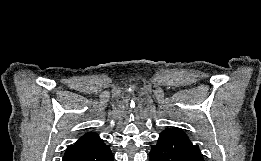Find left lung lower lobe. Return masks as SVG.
I'll return each mask as SVG.
<instances>
[{"label": "left lung lower lobe", "mask_w": 261, "mask_h": 161, "mask_svg": "<svg viewBox=\"0 0 261 161\" xmlns=\"http://www.w3.org/2000/svg\"><path fill=\"white\" fill-rule=\"evenodd\" d=\"M149 161H204L199 147L188 137L174 131H163L157 144L151 146Z\"/></svg>", "instance_id": "1"}]
</instances>
